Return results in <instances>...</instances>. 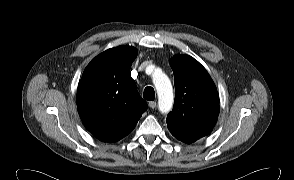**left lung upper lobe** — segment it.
I'll return each instance as SVG.
<instances>
[{
	"label": "left lung upper lobe",
	"instance_id": "1",
	"mask_svg": "<svg viewBox=\"0 0 294 180\" xmlns=\"http://www.w3.org/2000/svg\"><path fill=\"white\" fill-rule=\"evenodd\" d=\"M175 83L173 111L166 119L173 136L202 138L214 128L219 114L217 89L206 69L188 55L170 61Z\"/></svg>",
	"mask_w": 294,
	"mask_h": 180
}]
</instances>
